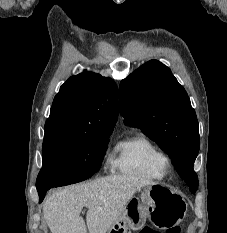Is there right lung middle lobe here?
Listing matches in <instances>:
<instances>
[{
  "label": "right lung middle lobe",
  "mask_w": 227,
  "mask_h": 233,
  "mask_svg": "<svg viewBox=\"0 0 227 233\" xmlns=\"http://www.w3.org/2000/svg\"><path fill=\"white\" fill-rule=\"evenodd\" d=\"M111 133L45 134L43 166L36 181L37 191L74 184L91 177L101 166Z\"/></svg>",
  "instance_id": "dd1d6c3e"
}]
</instances>
